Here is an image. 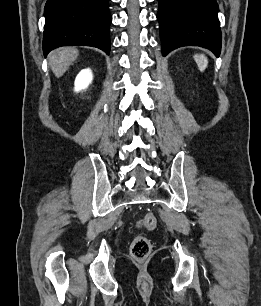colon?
I'll return each instance as SVG.
<instances>
[{
    "label": "colon",
    "instance_id": "5ec220e1",
    "mask_svg": "<svg viewBox=\"0 0 261 306\" xmlns=\"http://www.w3.org/2000/svg\"><path fill=\"white\" fill-rule=\"evenodd\" d=\"M157 226V219L154 214L146 213L137 223V227L145 230H154ZM151 251L150 240L143 236L137 235L131 242L130 252L134 259L144 260L148 257Z\"/></svg>",
    "mask_w": 261,
    "mask_h": 306
}]
</instances>
